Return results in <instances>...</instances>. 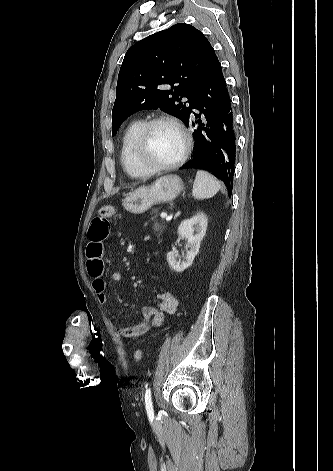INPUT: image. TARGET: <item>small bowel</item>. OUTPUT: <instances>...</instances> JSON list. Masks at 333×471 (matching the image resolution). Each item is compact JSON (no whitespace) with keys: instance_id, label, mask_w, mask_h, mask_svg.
Wrapping results in <instances>:
<instances>
[{"instance_id":"1","label":"small bowel","mask_w":333,"mask_h":471,"mask_svg":"<svg viewBox=\"0 0 333 471\" xmlns=\"http://www.w3.org/2000/svg\"><path fill=\"white\" fill-rule=\"evenodd\" d=\"M110 234V224L108 217L96 216L90 222L88 228V245L86 250L87 271L93 279L92 285L96 293L97 300L101 304H106L108 296L106 294L107 282L104 279V241ZM110 280L120 282L122 274L114 271L110 274ZM157 306H145L142 310V321L133 327H118L117 333L127 341L140 339L151 328L159 327L167 315H172L178 306L176 296L163 291L156 296Z\"/></svg>"}]
</instances>
